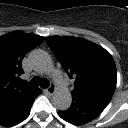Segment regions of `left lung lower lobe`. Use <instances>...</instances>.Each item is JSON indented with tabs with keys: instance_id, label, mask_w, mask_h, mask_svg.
<instances>
[{
	"instance_id": "1",
	"label": "left lung lower lobe",
	"mask_w": 128,
	"mask_h": 128,
	"mask_svg": "<svg viewBox=\"0 0 128 128\" xmlns=\"http://www.w3.org/2000/svg\"><path fill=\"white\" fill-rule=\"evenodd\" d=\"M73 103L66 111H59V116L74 125H82L98 117L108 105V101L99 99L72 97Z\"/></svg>"
}]
</instances>
